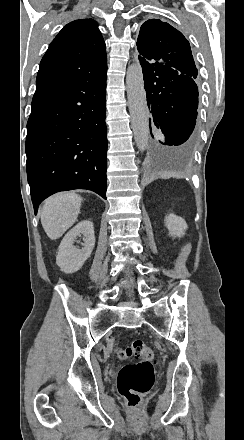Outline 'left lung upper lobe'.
Listing matches in <instances>:
<instances>
[{
    "mask_svg": "<svg viewBox=\"0 0 244 440\" xmlns=\"http://www.w3.org/2000/svg\"><path fill=\"white\" fill-rule=\"evenodd\" d=\"M137 49L141 66H164L178 74L197 78L190 44L181 32L159 19L141 26Z\"/></svg>",
    "mask_w": 244,
    "mask_h": 440,
    "instance_id": "obj_1",
    "label": "left lung upper lobe"
}]
</instances>
